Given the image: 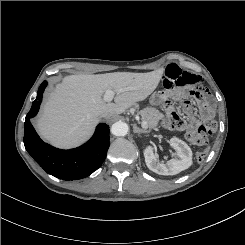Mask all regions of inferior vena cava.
<instances>
[{
    "label": "inferior vena cava",
    "mask_w": 245,
    "mask_h": 245,
    "mask_svg": "<svg viewBox=\"0 0 245 245\" xmlns=\"http://www.w3.org/2000/svg\"><path fill=\"white\" fill-rule=\"evenodd\" d=\"M101 117H103V118H107V117H108V115H107V114H102V115H101Z\"/></svg>",
    "instance_id": "obj_1"
}]
</instances>
